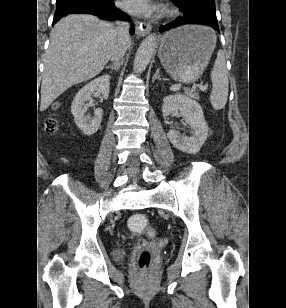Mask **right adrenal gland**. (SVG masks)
<instances>
[{"label": "right adrenal gland", "mask_w": 286, "mask_h": 308, "mask_svg": "<svg viewBox=\"0 0 286 308\" xmlns=\"http://www.w3.org/2000/svg\"><path fill=\"white\" fill-rule=\"evenodd\" d=\"M121 65H122V61L119 62V63H113V64H111V65H108V66L106 67V69H112V70H114V71H118V70L120 69Z\"/></svg>", "instance_id": "1"}]
</instances>
